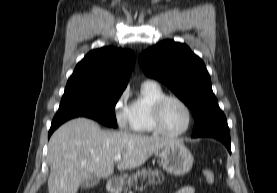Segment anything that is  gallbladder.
<instances>
[{
    "label": "gallbladder",
    "instance_id": "1",
    "mask_svg": "<svg viewBox=\"0 0 277 193\" xmlns=\"http://www.w3.org/2000/svg\"><path fill=\"white\" fill-rule=\"evenodd\" d=\"M99 183V178L97 176H92L89 179L81 183L82 189H90L95 187Z\"/></svg>",
    "mask_w": 277,
    "mask_h": 193
}]
</instances>
